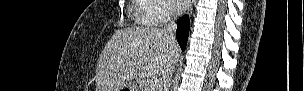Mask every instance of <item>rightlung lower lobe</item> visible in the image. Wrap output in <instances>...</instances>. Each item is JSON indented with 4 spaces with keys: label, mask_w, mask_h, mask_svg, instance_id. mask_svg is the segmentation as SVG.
<instances>
[{
    "label": "right lung lower lobe",
    "mask_w": 304,
    "mask_h": 91,
    "mask_svg": "<svg viewBox=\"0 0 304 91\" xmlns=\"http://www.w3.org/2000/svg\"><path fill=\"white\" fill-rule=\"evenodd\" d=\"M178 28L176 31V39L180 44L182 50H185L187 39L189 36V18L187 15H184L178 20Z\"/></svg>",
    "instance_id": "obj_1"
}]
</instances>
